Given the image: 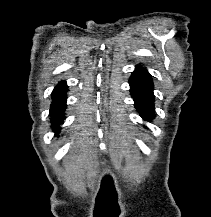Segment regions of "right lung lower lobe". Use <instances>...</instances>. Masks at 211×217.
<instances>
[{
	"instance_id": "1",
	"label": "right lung lower lobe",
	"mask_w": 211,
	"mask_h": 217,
	"mask_svg": "<svg viewBox=\"0 0 211 217\" xmlns=\"http://www.w3.org/2000/svg\"><path fill=\"white\" fill-rule=\"evenodd\" d=\"M67 85L65 81H61L52 92V105L50 108V120L52 129L56 132L55 136L60 133V125L63 123L66 109V92Z\"/></svg>"
}]
</instances>
